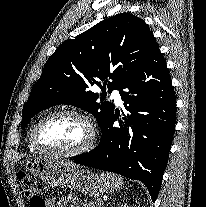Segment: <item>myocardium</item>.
I'll return each mask as SVG.
<instances>
[{"instance_id":"1","label":"myocardium","mask_w":206,"mask_h":207,"mask_svg":"<svg viewBox=\"0 0 206 207\" xmlns=\"http://www.w3.org/2000/svg\"><path fill=\"white\" fill-rule=\"evenodd\" d=\"M65 116L80 119L86 124L89 130L88 141L80 148H77L71 151L53 149V148L43 145L40 142L39 137H38L40 128L45 123H47L48 121L52 119L59 118V117H65ZM96 138H97L96 128L92 120L84 113L80 111H76V110H59V111H55V112H52L44 116L36 123L31 133V141L35 149H37L39 152H42V153H47V154L61 156V157H76V156L89 152L94 147Z\"/></svg>"}]
</instances>
